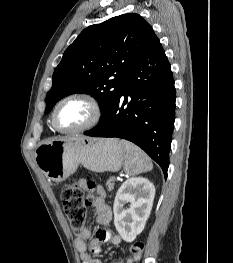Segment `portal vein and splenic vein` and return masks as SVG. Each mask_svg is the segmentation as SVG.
I'll return each mask as SVG.
<instances>
[{
  "label": "portal vein and splenic vein",
  "mask_w": 233,
  "mask_h": 263,
  "mask_svg": "<svg viewBox=\"0 0 233 263\" xmlns=\"http://www.w3.org/2000/svg\"><path fill=\"white\" fill-rule=\"evenodd\" d=\"M111 179H112L113 181H115L116 178H115V177H111Z\"/></svg>",
  "instance_id": "portal-vein-and-splenic-vein-1"
}]
</instances>
